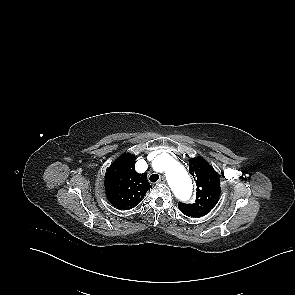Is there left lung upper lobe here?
<instances>
[{
	"mask_svg": "<svg viewBox=\"0 0 295 295\" xmlns=\"http://www.w3.org/2000/svg\"><path fill=\"white\" fill-rule=\"evenodd\" d=\"M189 172L196 180V200L193 204L179 202L178 208L185 215L201 217L217 203L220 196V180L216 171L204 159H189Z\"/></svg>",
	"mask_w": 295,
	"mask_h": 295,
	"instance_id": "1",
	"label": "left lung upper lobe"
}]
</instances>
